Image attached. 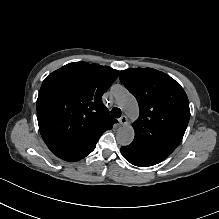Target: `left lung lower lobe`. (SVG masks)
<instances>
[{
    "label": "left lung lower lobe",
    "mask_w": 219,
    "mask_h": 219,
    "mask_svg": "<svg viewBox=\"0 0 219 219\" xmlns=\"http://www.w3.org/2000/svg\"><path fill=\"white\" fill-rule=\"evenodd\" d=\"M121 153L128 162L135 166L148 167L157 164L156 162L146 159L143 156L139 155L137 152H135L127 146L121 147Z\"/></svg>",
    "instance_id": "left-lung-lower-lobe-1"
}]
</instances>
